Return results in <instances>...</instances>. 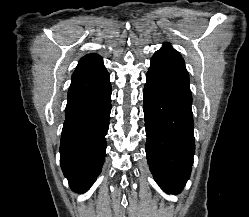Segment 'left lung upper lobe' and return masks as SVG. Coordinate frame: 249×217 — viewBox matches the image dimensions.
Listing matches in <instances>:
<instances>
[{
	"label": "left lung upper lobe",
	"instance_id": "1",
	"mask_svg": "<svg viewBox=\"0 0 249 217\" xmlns=\"http://www.w3.org/2000/svg\"><path fill=\"white\" fill-rule=\"evenodd\" d=\"M153 57L155 58H167L176 62H179L183 65H185L184 60L182 56L169 45L168 43H165L163 47L158 50Z\"/></svg>",
	"mask_w": 249,
	"mask_h": 217
}]
</instances>
